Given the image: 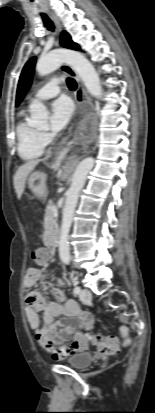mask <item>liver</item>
<instances>
[{
	"mask_svg": "<svg viewBox=\"0 0 155 413\" xmlns=\"http://www.w3.org/2000/svg\"><path fill=\"white\" fill-rule=\"evenodd\" d=\"M40 161V159L30 160L21 165L16 171L13 181L18 199H20L23 194L28 175L33 171V169L39 164Z\"/></svg>",
	"mask_w": 155,
	"mask_h": 413,
	"instance_id": "1",
	"label": "liver"
}]
</instances>
